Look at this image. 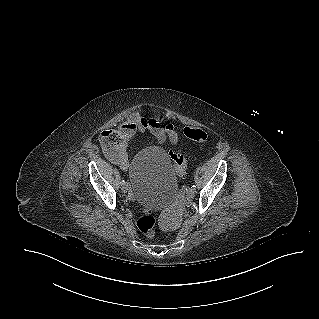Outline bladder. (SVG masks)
Listing matches in <instances>:
<instances>
[{"mask_svg":"<svg viewBox=\"0 0 319 319\" xmlns=\"http://www.w3.org/2000/svg\"><path fill=\"white\" fill-rule=\"evenodd\" d=\"M136 201L147 210L163 209L177 192V177L168 153L160 147L139 151L128 165Z\"/></svg>","mask_w":319,"mask_h":319,"instance_id":"obj_1","label":"bladder"}]
</instances>
